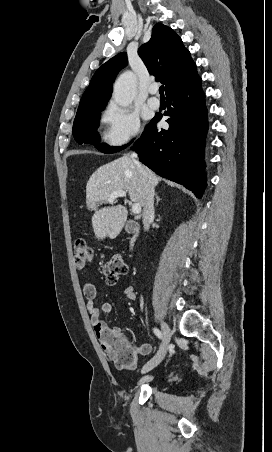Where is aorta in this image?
I'll return each mask as SVG.
<instances>
[{"label":"aorta","instance_id":"aorta-1","mask_svg":"<svg viewBox=\"0 0 272 452\" xmlns=\"http://www.w3.org/2000/svg\"><path fill=\"white\" fill-rule=\"evenodd\" d=\"M136 95V78L131 71L121 74L114 83L113 100L121 107H128Z\"/></svg>","mask_w":272,"mask_h":452}]
</instances>
